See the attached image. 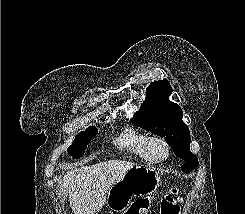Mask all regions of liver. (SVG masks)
<instances>
[{"instance_id": "liver-1", "label": "liver", "mask_w": 245, "mask_h": 214, "mask_svg": "<svg viewBox=\"0 0 245 214\" xmlns=\"http://www.w3.org/2000/svg\"><path fill=\"white\" fill-rule=\"evenodd\" d=\"M135 166L128 161L111 159L68 171L59 190L61 202L69 195L74 214H94L107 201L109 189Z\"/></svg>"}]
</instances>
